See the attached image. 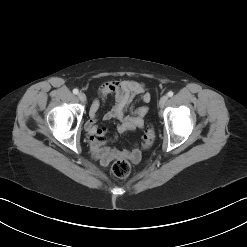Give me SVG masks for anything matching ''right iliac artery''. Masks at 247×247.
<instances>
[{"label": "right iliac artery", "mask_w": 247, "mask_h": 247, "mask_svg": "<svg viewBox=\"0 0 247 247\" xmlns=\"http://www.w3.org/2000/svg\"><path fill=\"white\" fill-rule=\"evenodd\" d=\"M73 93H74V94H78V89H74V90H73Z\"/></svg>", "instance_id": "right-iliac-artery-1"}]
</instances>
